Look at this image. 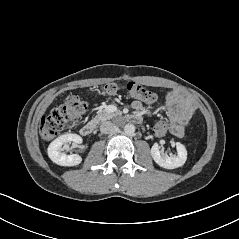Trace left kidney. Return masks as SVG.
<instances>
[{
    "label": "left kidney",
    "instance_id": "left-kidney-1",
    "mask_svg": "<svg viewBox=\"0 0 239 239\" xmlns=\"http://www.w3.org/2000/svg\"><path fill=\"white\" fill-rule=\"evenodd\" d=\"M177 156H168L160 150V146L155 143L151 148L153 160L161 167L166 169H175L185 164L187 160V151L183 144L177 142Z\"/></svg>",
    "mask_w": 239,
    "mask_h": 239
}]
</instances>
